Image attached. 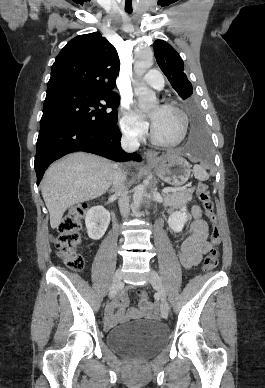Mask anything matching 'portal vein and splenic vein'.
<instances>
[{
    "instance_id": "18ae733b",
    "label": "portal vein and splenic vein",
    "mask_w": 265,
    "mask_h": 388,
    "mask_svg": "<svg viewBox=\"0 0 265 388\" xmlns=\"http://www.w3.org/2000/svg\"><path fill=\"white\" fill-rule=\"evenodd\" d=\"M162 192H164V194H166V192H175L174 188H164V190H162Z\"/></svg>"
}]
</instances>
